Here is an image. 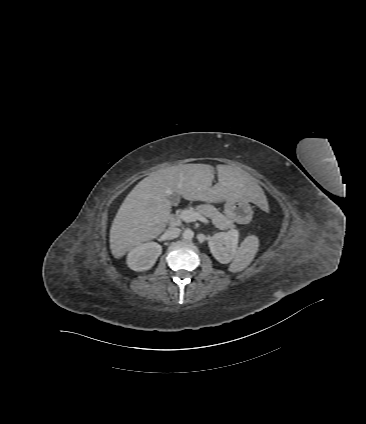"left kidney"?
I'll list each match as a JSON object with an SVG mask.
<instances>
[{"label": "left kidney", "instance_id": "1", "mask_svg": "<svg viewBox=\"0 0 366 424\" xmlns=\"http://www.w3.org/2000/svg\"><path fill=\"white\" fill-rule=\"evenodd\" d=\"M239 241V233L235 230L220 232L210 237L208 246L214 258L222 264H227L234 258Z\"/></svg>", "mask_w": 366, "mask_h": 424}]
</instances>
